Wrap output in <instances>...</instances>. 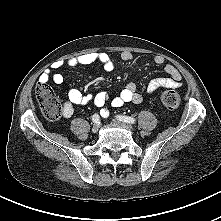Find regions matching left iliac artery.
<instances>
[{
    "label": "left iliac artery",
    "mask_w": 221,
    "mask_h": 221,
    "mask_svg": "<svg viewBox=\"0 0 221 221\" xmlns=\"http://www.w3.org/2000/svg\"><path fill=\"white\" fill-rule=\"evenodd\" d=\"M117 118L120 121L126 122V123H130V124H134L136 122V120L130 116H123V115H118Z\"/></svg>",
    "instance_id": "44dca946"
}]
</instances>
